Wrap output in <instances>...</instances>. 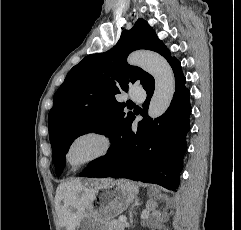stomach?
<instances>
[{
  "label": "stomach",
  "instance_id": "obj_1",
  "mask_svg": "<svg viewBox=\"0 0 241 230\" xmlns=\"http://www.w3.org/2000/svg\"><path fill=\"white\" fill-rule=\"evenodd\" d=\"M138 187L128 180L101 182L95 197L85 210L77 230H109L108 223L134 201Z\"/></svg>",
  "mask_w": 241,
  "mask_h": 230
}]
</instances>
